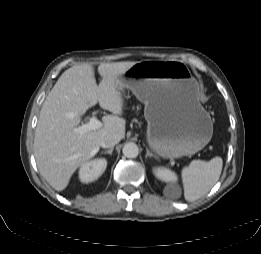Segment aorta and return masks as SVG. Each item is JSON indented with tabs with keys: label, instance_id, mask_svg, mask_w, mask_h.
<instances>
[{
	"label": "aorta",
	"instance_id": "obj_1",
	"mask_svg": "<svg viewBox=\"0 0 261 254\" xmlns=\"http://www.w3.org/2000/svg\"><path fill=\"white\" fill-rule=\"evenodd\" d=\"M122 153L127 158H136L139 154V148L135 143L129 142L124 145Z\"/></svg>",
	"mask_w": 261,
	"mask_h": 254
}]
</instances>
